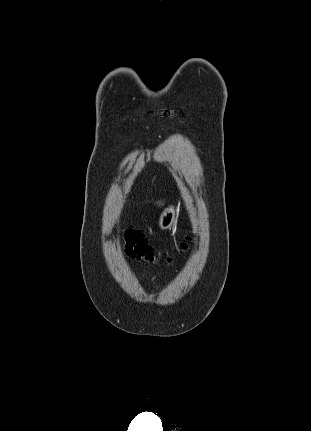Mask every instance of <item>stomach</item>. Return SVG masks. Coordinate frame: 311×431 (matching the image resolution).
<instances>
[{
    "label": "stomach",
    "mask_w": 311,
    "mask_h": 431,
    "mask_svg": "<svg viewBox=\"0 0 311 431\" xmlns=\"http://www.w3.org/2000/svg\"><path fill=\"white\" fill-rule=\"evenodd\" d=\"M176 206H168L163 210L158 219V227L160 229H171L175 219H176Z\"/></svg>",
    "instance_id": "0dacf381"
}]
</instances>
